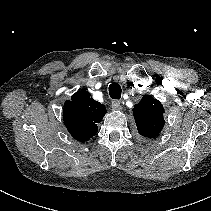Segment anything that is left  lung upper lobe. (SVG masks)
Listing matches in <instances>:
<instances>
[{"label": "left lung upper lobe", "mask_w": 211, "mask_h": 211, "mask_svg": "<svg viewBox=\"0 0 211 211\" xmlns=\"http://www.w3.org/2000/svg\"><path fill=\"white\" fill-rule=\"evenodd\" d=\"M164 108L159 100L144 95L133 108L138 132L147 138H155L164 127Z\"/></svg>", "instance_id": "5c2ea615"}]
</instances>
